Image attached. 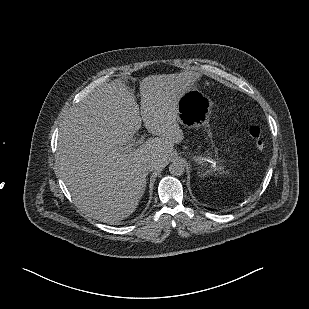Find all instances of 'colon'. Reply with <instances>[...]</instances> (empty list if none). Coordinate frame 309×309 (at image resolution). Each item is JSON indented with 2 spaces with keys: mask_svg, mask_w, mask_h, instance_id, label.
Returning a JSON list of instances; mask_svg holds the SVG:
<instances>
[{
  "mask_svg": "<svg viewBox=\"0 0 309 309\" xmlns=\"http://www.w3.org/2000/svg\"><path fill=\"white\" fill-rule=\"evenodd\" d=\"M249 136L255 141V145L258 148H261L263 146V142L261 140V132L258 127L255 126L250 127Z\"/></svg>",
  "mask_w": 309,
  "mask_h": 309,
  "instance_id": "obj_1",
  "label": "colon"
}]
</instances>
